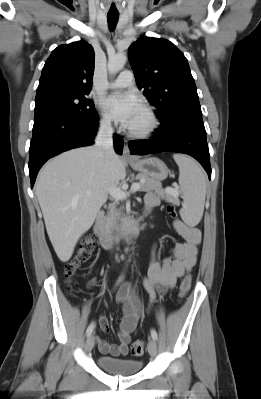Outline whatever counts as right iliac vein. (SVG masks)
<instances>
[{
    "instance_id": "1",
    "label": "right iliac vein",
    "mask_w": 261,
    "mask_h": 399,
    "mask_svg": "<svg viewBox=\"0 0 261 399\" xmlns=\"http://www.w3.org/2000/svg\"><path fill=\"white\" fill-rule=\"evenodd\" d=\"M94 345H95V338H94L93 335H90V336L87 338V340H86V344H85V349H86V351H87V352H88V351H91L92 348L94 347Z\"/></svg>"
}]
</instances>
